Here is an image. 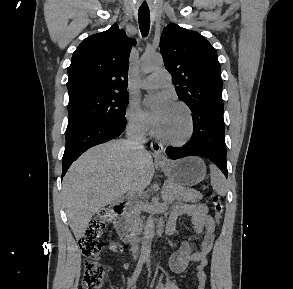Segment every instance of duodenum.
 Here are the masks:
<instances>
[{"label": "duodenum", "mask_w": 293, "mask_h": 289, "mask_svg": "<svg viewBox=\"0 0 293 289\" xmlns=\"http://www.w3.org/2000/svg\"><path fill=\"white\" fill-rule=\"evenodd\" d=\"M127 202L123 201L112 208L114 225L119 237L126 244H137L144 238V230H141L126 213ZM165 223L157 222V234L166 230Z\"/></svg>", "instance_id": "duodenum-1"}]
</instances>
